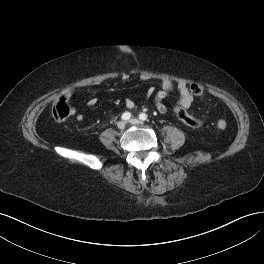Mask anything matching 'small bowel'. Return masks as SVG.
Segmentation results:
<instances>
[{
	"mask_svg": "<svg viewBox=\"0 0 264 264\" xmlns=\"http://www.w3.org/2000/svg\"><path fill=\"white\" fill-rule=\"evenodd\" d=\"M128 78H129L128 75H124L122 77L123 80H127ZM142 79L147 80L148 78L146 76H142ZM172 89H173V82L167 78L161 81V90H159L158 92L155 91L154 87H149L147 89L146 97L154 98L155 107L157 111L161 114H164L167 110V107L164 101ZM177 90L179 92V97H180L179 106L188 109L191 106L194 98L191 92L189 91L187 84L183 81L179 82L177 84ZM75 92H76L75 88L67 89L64 92V96L66 98H71L75 94ZM96 102H97V99L95 97H92L87 101V104L89 106H93L96 104ZM126 106L128 108H133L134 107L133 100L127 99ZM76 119L78 121H82L83 116L79 114L77 115Z\"/></svg>",
	"mask_w": 264,
	"mask_h": 264,
	"instance_id": "c3829d8e",
	"label": "small bowel"
}]
</instances>
